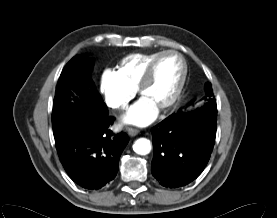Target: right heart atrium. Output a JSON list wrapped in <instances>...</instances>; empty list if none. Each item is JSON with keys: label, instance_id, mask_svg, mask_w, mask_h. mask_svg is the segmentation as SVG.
I'll use <instances>...</instances> for the list:
<instances>
[{"label": "right heart atrium", "instance_id": "obj_1", "mask_svg": "<svg viewBox=\"0 0 277 218\" xmlns=\"http://www.w3.org/2000/svg\"><path fill=\"white\" fill-rule=\"evenodd\" d=\"M100 91L110 108L125 109L136 94V89L127 84L118 71L106 68L101 73Z\"/></svg>", "mask_w": 277, "mask_h": 218}]
</instances>
